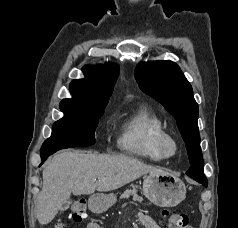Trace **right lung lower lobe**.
Returning <instances> with one entry per match:
<instances>
[{
	"label": "right lung lower lobe",
	"mask_w": 238,
	"mask_h": 228,
	"mask_svg": "<svg viewBox=\"0 0 238 228\" xmlns=\"http://www.w3.org/2000/svg\"><path fill=\"white\" fill-rule=\"evenodd\" d=\"M57 151L58 150L40 152L41 153V164H40V166L44 163V161L47 159V157L49 155H52L53 153H55Z\"/></svg>",
	"instance_id": "98d812e1"
}]
</instances>
